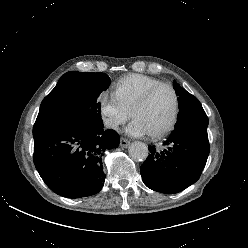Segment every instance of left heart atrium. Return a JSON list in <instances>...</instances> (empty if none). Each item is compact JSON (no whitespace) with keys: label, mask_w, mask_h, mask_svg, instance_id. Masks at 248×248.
<instances>
[{"label":"left heart atrium","mask_w":248,"mask_h":248,"mask_svg":"<svg viewBox=\"0 0 248 248\" xmlns=\"http://www.w3.org/2000/svg\"><path fill=\"white\" fill-rule=\"evenodd\" d=\"M128 135L132 137H141L148 134L146 129L136 120H132L126 128Z\"/></svg>","instance_id":"39dd6f15"}]
</instances>
